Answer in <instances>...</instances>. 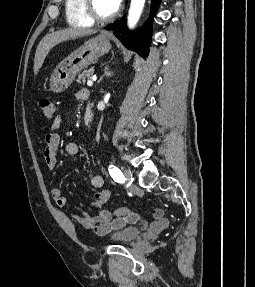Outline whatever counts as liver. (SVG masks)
<instances>
[{"label":"liver","mask_w":255,"mask_h":287,"mask_svg":"<svg viewBox=\"0 0 255 287\" xmlns=\"http://www.w3.org/2000/svg\"><path fill=\"white\" fill-rule=\"evenodd\" d=\"M96 32L97 30H90V28H66V30L52 32V34L44 36L43 40L37 46L34 58L35 76H37L47 54H49L54 46L61 44V42H67V40H77V38H82V36H91V34H96Z\"/></svg>","instance_id":"1"}]
</instances>
